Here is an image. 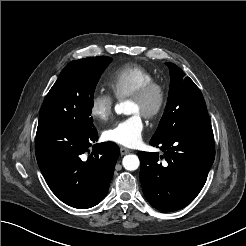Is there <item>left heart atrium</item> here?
Returning <instances> with one entry per match:
<instances>
[{
  "label": "left heart atrium",
  "instance_id": "39dd6f15",
  "mask_svg": "<svg viewBox=\"0 0 246 246\" xmlns=\"http://www.w3.org/2000/svg\"><path fill=\"white\" fill-rule=\"evenodd\" d=\"M143 130L144 123L141 115L134 113L107 129L103 136L106 140L119 145L135 147L141 142Z\"/></svg>",
  "mask_w": 246,
  "mask_h": 246
}]
</instances>
